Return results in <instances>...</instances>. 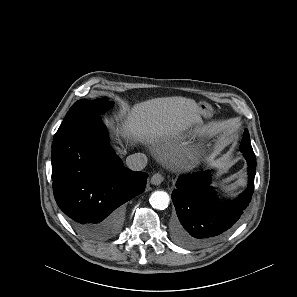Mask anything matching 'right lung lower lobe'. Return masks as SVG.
<instances>
[{"mask_svg": "<svg viewBox=\"0 0 297 297\" xmlns=\"http://www.w3.org/2000/svg\"><path fill=\"white\" fill-rule=\"evenodd\" d=\"M51 159L54 197L74 228L91 239L115 236L123 204L145 190L148 174L124 167L99 119L56 132Z\"/></svg>", "mask_w": 297, "mask_h": 297, "instance_id": "98d812e1", "label": "right lung lower lobe"}]
</instances>
